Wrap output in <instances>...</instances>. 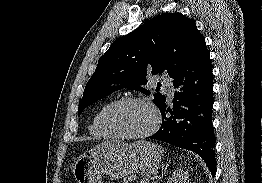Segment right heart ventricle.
Returning a JSON list of instances; mask_svg holds the SVG:
<instances>
[{
	"label": "right heart ventricle",
	"instance_id": "right-heart-ventricle-1",
	"mask_svg": "<svg viewBox=\"0 0 262 183\" xmlns=\"http://www.w3.org/2000/svg\"><path fill=\"white\" fill-rule=\"evenodd\" d=\"M111 102H107L103 104L95 113L91 124L89 126V132L92 136H94L97 139H107L111 136L104 130L102 123H101V117L104 109L110 104Z\"/></svg>",
	"mask_w": 262,
	"mask_h": 183
}]
</instances>
